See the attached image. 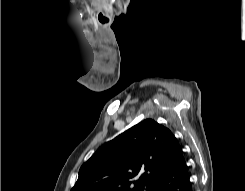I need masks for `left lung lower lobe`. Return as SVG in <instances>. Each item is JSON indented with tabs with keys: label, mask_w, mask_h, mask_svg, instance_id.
<instances>
[{
	"label": "left lung lower lobe",
	"mask_w": 245,
	"mask_h": 191,
	"mask_svg": "<svg viewBox=\"0 0 245 191\" xmlns=\"http://www.w3.org/2000/svg\"><path fill=\"white\" fill-rule=\"evenodd\" d=\"M152 191H192L188 166L182 152Z\"/></svg>",
	"instance_id": "obj_1"
}]
</instances>
